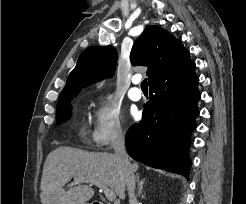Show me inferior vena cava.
<instances>
[{
	"label": "inferior vena cava",
	"mask_w": 246,
	"mask_h": 204,
	"mask_svg": "<svg viewBox=\"0 0 246 204\" xmlns=\"http://www.w3.org/2000/svg\"><path fill=\"white\" fill-rule=\"evenodd\" d=\"M113 149L115 156L125 173L129 204H137V198L135 196V175L130 167L129 158L125 149V137L121 132L117 134L113 141Z\"/></svg>",
	"instance_id": "602c4592"
}]
</instances>
